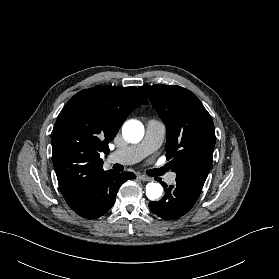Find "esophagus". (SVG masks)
Listing matches in <instances>:
<instances>
[{
  "label": "esophagus",
  "mask_w": 279,
  "mask_h": 279,
  "mask_svg": "<svg viewBox=\"0 0 279 279\" xmlns=\"http://www.w3.org/2000/svg\"><path fill=\"white\" fill-rule=\"evenodd\" d=\"M138 178L142 181H151L152 178L145 176V175H139Z\"/></svg>",
  "instance_id": "obj_1"
}]
</instances>
